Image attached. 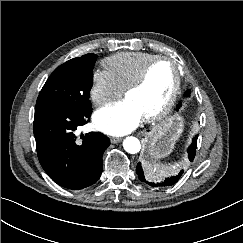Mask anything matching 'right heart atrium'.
<instances>
[{
	"label": "right heart atrium",
	"instance_id": "1",
	"mask_svg": "<svg viewBox=\"0 0 243 243\" xmlns=\"http://www.w3.org/2000/svg\"><path fill=\"white\" fill-rule=\"evenodd\" d=\"M123 89L106 69H98L92 75L90 98L96 106H102L120 97Z\"/></svg>",
	"mask_w": 243,
	"mask_h": 243
}]
</instances>
